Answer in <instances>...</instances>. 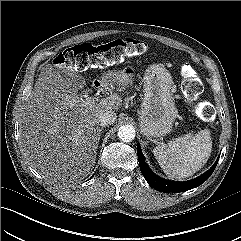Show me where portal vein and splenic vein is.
Wrapping results in <instances>:
<instances>
[{"label": "portal vein and splenic vein", "mask_w": 241, "mask_h": 241, "mask_svg": "<svg viewBox=\"0 0 241 241\" xmlns=\"http://www.w3.org/2000/svg\"><path fill=\"white\" fill-rule=\"evenodd\" d=\"M83 96L85 97L86 100L91 99V98L96 99L95 97H89L88 95H83Z\"/></svg>", "instance_id": "18ae733b"}]
</instances>
